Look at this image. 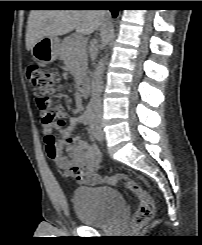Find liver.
<instances>
[{"instance_id": "obj_1", "label": "liver", "mask_w": 202, "mask_h": 245, "mask_svg": "<svg viewBox=\"0 0 202 245\" xmlns=\"http://www.w3.org/2000/svg\"><path fill=\"white\" fill-rule=\"evenodd\" d=\"M105 12L96 10H32L26 31V48L32 47L44 37H56L70 33L89 35L99 28Z\"/></svg>"}]
</instances>
